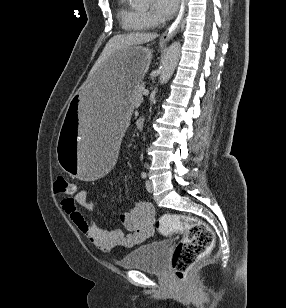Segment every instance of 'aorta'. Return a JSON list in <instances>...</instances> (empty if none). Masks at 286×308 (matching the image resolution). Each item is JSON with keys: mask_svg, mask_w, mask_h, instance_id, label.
Listing matches in <instances>:
<instances>
[{"mask_svg": "<svg viewBox=\"0 0 286 308\" xmlns=\"http://www.w3.org/2000/svg\"><path fill=\"white\" fill-rule=\"evenodd\" d=\"M149 0H135L137 3H147ZM181 55V44L179 41L172 43L165 51L160 66V84H165L171 78Z\"/></svg>", "mask_w": 286, "mask_h": 308, "instance_id": "762f6f07", "label": "aorta"}]
</instances>
